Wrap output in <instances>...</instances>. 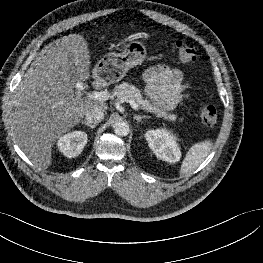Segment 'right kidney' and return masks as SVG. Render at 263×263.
I'll use <instances>...</instances> for the list:
<instances>
[{"instance_id":"ca27d5eb","label":"right kidney","mask_w":263,"mask_h":263,"mask_svg":"<svg viewBox=\"0 0 263 263\" xmlns=\"http://www.w3.org/2000/svg\"><path fill=\"white\" fill-rule=\"evenodd\" d=\"M87 134L83 131H74L59 138L57 146L59 151L68 158L80 155L87 144Z\"/></svg>"}]
</instances>
